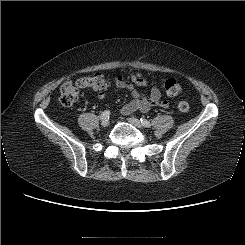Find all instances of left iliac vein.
Instances as JSON below:
<instances>
[{"instance_id": "obj_1", "label": "left iliac vein", "mask_w": 245, "mask_h": 245, "mask_svg": "<svg viewBox=\"0 0 245 245\" xmlns=\"http://www.w3.org/2000/svg\"><path fill=\"white\" fill-rule=\"evenodd\" d=\"M128 121L137 128H143L141 121L135 117L128 118Z\"/></svg>"}]
</instances>
